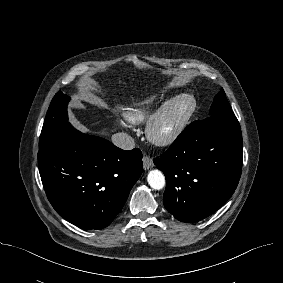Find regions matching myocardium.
<instances>
[{"label": "myocardium", "mask_w": 283, "mask_h": 283, "mask_svg": "<svg viewBox=\"0 0 283 283\" xmlns=\"http://www.w3.org/2000/svg\"><path fill=\"white\" fill-rule=\"evenodd\" d=\"M176 110H180L179 115L167 129H163L164 123L172 117ZM195 110L196 101L193 96L182 94L173 97L148 120L145 129L147 139L157 146L172 144L185 130Z\"/></svg>", "instance_id": "myocardium-1"}]
</instances>
